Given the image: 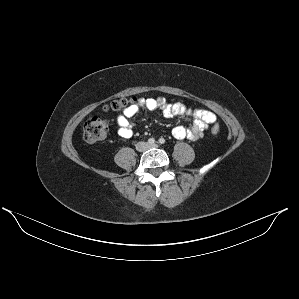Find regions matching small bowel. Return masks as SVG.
<instances>
[{
  "instance_id": "c3829d8e",
  "label": "small bowel",
  "mask_w": 299,
  "mask_h": 299,
  "mask_svg": "<svg viewBox=\"0 0 299 299\" xmlns=\"http://www.w3.org/2000/svg\"><path fill=\"white\" fill-rule=\"evenodd\" d=\"M162 110L166 117L188 116L193 118L190 127L176 126L172 129V135L177 139L197 140L202 137L204 130L210 124H214L217 117L214 113L203 109H191L181 103H169L165 97L141 99L126 109L117 117L118 135L122 138H131L134 135L132 118L141 110Z\"/></svg>"
}]
</instances>
